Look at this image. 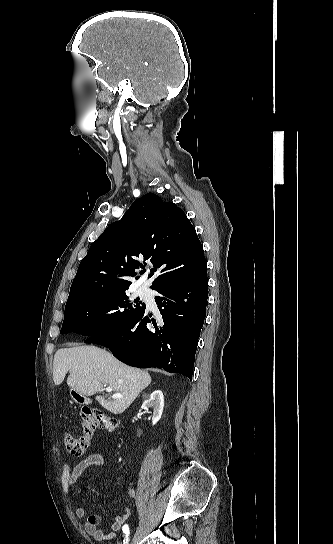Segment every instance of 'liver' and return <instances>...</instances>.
<instances>
[{"label":"liver","instance_id":"liver-1","mask_svg":"<svg viewBox=\"0 0 333 544\" xmlns=\"http://www.w3.org/2000/svg\"><path fill=\"white\" fill-rule=\"evenodd\" d=\"M67 372L70 388L85 396L101 393L108 385L114 394L112 399L96 396L99 404L113 414L123 413L149 386L148 372L133 368L118 361L110 352L93 345L59 349L54 356L53 380L60 385ZM122 395L121 398L114 395Z\"/></svg>","mask_w":333,"mask_h":544}]
</instances>
